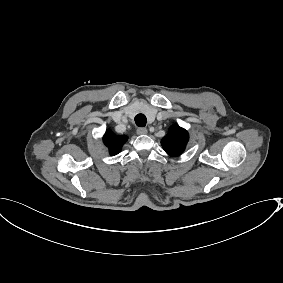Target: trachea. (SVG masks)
<instances>
[{"mask_svg":"<svg viewBox=\"0 0 283 283\" xmlns=\"http://www.w3.org/2000/svg\"><path fill=\"white\" fill-rule=\"evenodd\" d=\"M146 121V116L141 113L135 116V123L139 127H144L146 125Z\"/></svg>","mask_w":283,"mask_h":283,"instance_id":"3493384b","label":"trachea"}]
</instances>
